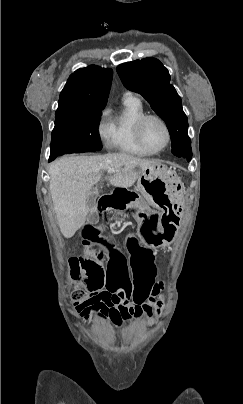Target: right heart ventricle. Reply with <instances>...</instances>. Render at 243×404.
Listing matches in <instances>:
<instances>
[{
	"mask_svg": "<svg viewBox=\"0 0 243 404\" xmlns=\"http://www.w3.org/2000/svg\"><path fill=\"white\" fill-rule=\"evenodd\" d=\"M146 113L142 101L134 92H125L122 98V105L119 113L112 119L116 150L120 153L146 157L154 153L148 151L140 145L135 132V122Z\"/></svg>",
	"mask_w": 243,
	"mask_h": 404,
	"instance_id": "e07e8e85",
	"label": "right heart ventricle"
}]
</instances>
